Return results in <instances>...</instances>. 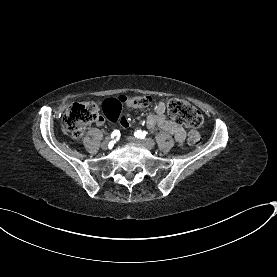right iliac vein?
Instances as JSON below:
<instances>
[{
  "instance_id": "obj_1",
  "label": "right iliac vein",
  "mask_w": 277,
  "mask_h": 277,
  "mask_svg": "<svg viewBox=\"0 0 277 277\" xmlns=\"http://www.w3.org/2000/svg\"><path fill=\"white\" fill-rule=\"evenodd\" d=\"M101 148L103 150H107L109 148V143L108 141H104L102 144H101Z\"/></svg>"
}]
</instances>
